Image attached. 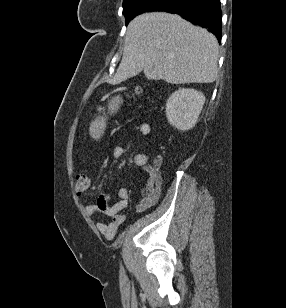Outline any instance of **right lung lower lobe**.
<instances>
[{
    "mask_svg": "<svg viewBox=\"0 0 286 308\" xmlns=\"http://www.w3.org/2000/svg\"><path fill=\"white\" fill-rule=\"evenodd\" d=\"M153 11L178 14L196 25L208 28L221 41L220 0H168Z\"/></svg>",
    "mask_w": 286,
    "mask_h": 308,
    "instance_id": "obj_1",
    "label": "right lung lower lobe"
}]
</instances>
